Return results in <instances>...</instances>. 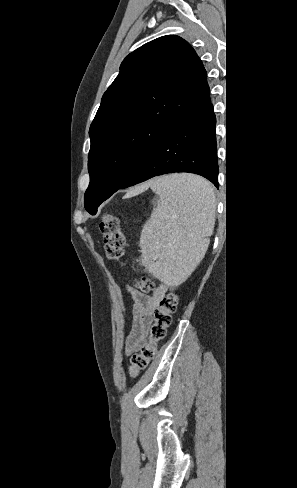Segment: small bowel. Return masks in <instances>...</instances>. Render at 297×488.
Here are the masks:
<instances>
[{
    "label": "small bowel",
    "instance_id": "obj_1",
    "mask_svg": "<svg viewBox=\"0 0 297 488\" xmlns=\"http://www.w3.org/2000/svg\"><path fill=\"white\" fill-rule=\"evenodd\" d=\"M170 286L160 283L151 294L129 289L133 300L132 330L127 339L129 351H135L145 340L147 330L152 323V315L161 297L167 294Z\"/></svg>",
    "mask_w": 297,
    "mask_h": 488
}]
</instances>
